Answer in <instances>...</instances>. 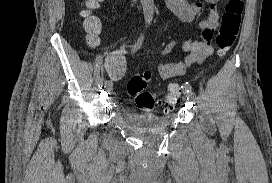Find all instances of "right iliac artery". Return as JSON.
I'll return each mask as SVG.
<instances>
[{
  "instance_id": "1",
  "label": "right iliac artery",
  "mask_w": 272,
  "mask_h": 183,
  "mask_svg": "<svg viewBox=\"0 0 272 183\" xmlns=\"http://www.w3.org/2000/svg\"><path fill=\"white\" fill-rule=\"evenodd\" d=\"M143 39H144V35L141 34L140 37L138 38L137 42L133 45V48H132V52H136L140 47H141V44L143 42ZM108 81L105 82V84L107 83Z\"/></svg>"
}]
</instances>
